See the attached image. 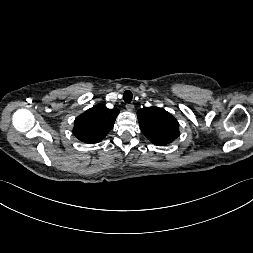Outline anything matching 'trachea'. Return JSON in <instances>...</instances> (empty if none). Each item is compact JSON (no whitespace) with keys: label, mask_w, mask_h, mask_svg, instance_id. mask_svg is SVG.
I'll return each instance as SVG.
<instances>
[{"label":"trachea","mask_w":253,"mask_h":253,"mask_svg":"<svg viewBox=\"0 0 253 253\" xmlns=\"http://www.w3.org/2000/svg\"><path fill=\"white\" fill-rule=\"evenodd\" d=\"M133 95L132 92L130 90H126L123 94V100L126 103H130L132 101Z\"/></svg>","instance_id":"1"}]
</instances>
